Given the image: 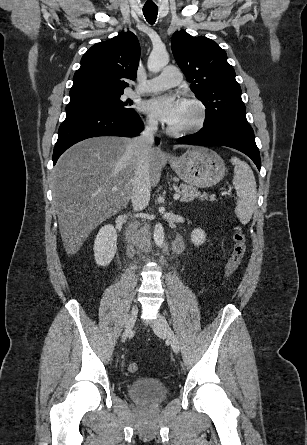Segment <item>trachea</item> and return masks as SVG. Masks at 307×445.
<instances>
[{
  "label": "trachea",
  "mask_w": 307,
  "mask_h": 445,
  "mask_svg": "<svg viewBox=\"0 0 307 445\" xmlns=\"http://www.w3.org/2000/svg\"><path fill=\"white\" fill-rule=\"evenodd\" d=\"M143 13L146 20L153 24L157 19L158 7L157 6H148L143 8Z\"/></svg>",
  "instance_id": "obj_1"
}]
</instances>
